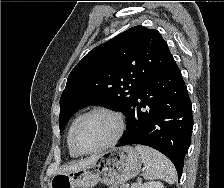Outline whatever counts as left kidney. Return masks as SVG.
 Segmentation results:
<instances>
[{"label":"left kidney","mask_w":224,"mask_h":188,"mask_svg":"<svg viewBox=\"0 0 224 188\" xmlns=\"http://www.w3.org/2000/svg\"><path fill=\"white\" fill-rule=\"evenodd\" d=\"M140 188H165L163 183L159 181H148L140 186Z\"/></svg>","instance_id":"left-kidney-1"}]
</instances>
